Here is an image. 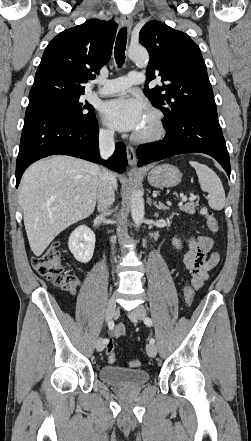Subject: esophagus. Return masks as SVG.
Instances as JSON below:
<instances>
[{
    "mask_svg": "<svg viewBox=\"0 0 251 441\" xmlns=\"http://www.w3.org/2000/svg\"><path fill=\"white\" fill-rule=\"evenodd\" d=\"M120 20H121V24L123 26H126L129 30L131 29L132 24H133V19H132L131 15L123 14V15H121ZM126 151H127V158H128L129 165L135 167L137 164L135 149L133 148V146L127 145Z\"/></svg>",
    "mask_w": 251,
    "mask_h": 441,
    "instance_id": "obj_1",
    "label": "esophagus"
}]
</instances>
